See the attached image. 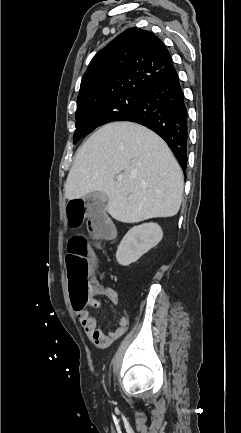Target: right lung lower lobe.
<instances>
[{"label": "right lung lower lobe", "instance_id": "right-lung-lower-lobe-1", "mask_svg": "<svg viewBox=\"0 0 241 433\" xmlns=\"http://www.w3.org/2000/svg\"><path fill=\"white\" fill-rule=\"evenodd\" d=\"M119 121H132L162 137L186 170L188 115L177 72L149 85L140 105Z\"/></svg>", "mask_w": 241, "mask_h": 433}]
</instances>
